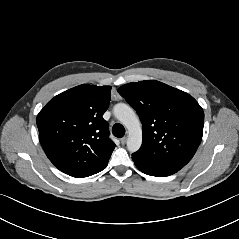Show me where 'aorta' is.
I'll return each mask as SVG.
<instances>
[{
  "label": "aorta",
  "mask_w": 239,
  "mask_h": 239,
  "mask_svg": "<svg viewBox=\"0 0 239 239\" xmlns=\"http://www.w3.org/2000/svg\"><path fill=\"white\" fill-rule=\"evenodd\" d=\"M114 116L127 128V149L130 152L139 150L142 144L141 123L133 109L124 103H118L113 108Z\"/></svg>",
  "instance_id": "762f6f07"
}]
</instances>
